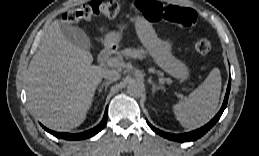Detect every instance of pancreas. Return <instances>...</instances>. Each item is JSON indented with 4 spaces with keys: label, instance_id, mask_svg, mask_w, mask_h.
I'll return each mask as SVG.
<instances>
[{
    "label": "pancreas",
    "instance_id": "pancreas-1",
    "mask_svg": "<svg viewBox=\"0 0 259 156\" xmlns=\"http://www.w3.org/2000/svg\"><path fill=\"white\" fill-rule=\"evenodd\" d=\"M123 55L125 57H130L133 59H142L143 57H145V51L140 48V49H131V48H127L123 51ZM122 55L120 54L118 56L119 59H121Z\"/></svg>",
    "mask_w": 259,
    "mask_h": 156
}]
</instances>
